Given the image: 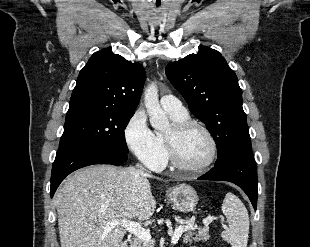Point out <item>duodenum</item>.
I'll return each instance as SVG.
<instances>
[{
	"mask_svg": "<svg viewBox=\"0 0 310 247\" xmlns=\"http://www.w3.org/2000/svg\"><path fill=\"white\" fill-rule=\"evenodd\" d=\"M118 247H128L127 244L125 242H121Z\"/></svg>",
	"mask_w": 310,
	"mask_h": 247,
	"instance_id": "1",
	"label": "duodenum"
}]
</instances>
